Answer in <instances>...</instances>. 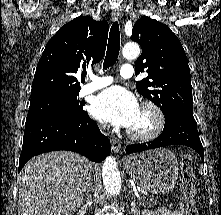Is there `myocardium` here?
<instances>
[{"label": "myocardium", "instance_id": "obj_1", "mask_svg": "<svg viewBox=\"0 0 221 215\" xmlns=\"http://www.w3.org/2000/svg\"><path fill=\"white\" fill-rule=\"evenodd\" d=\"M141 109L150 113L153 118L152 127L145 132H136L132 129L127 130V135L135 141H150L157 138L165 127V116L161 108L153 101L147 100L141 104Z\"/></svg>", "mask_w": 221, "mask_h": 215}]
</instances>
